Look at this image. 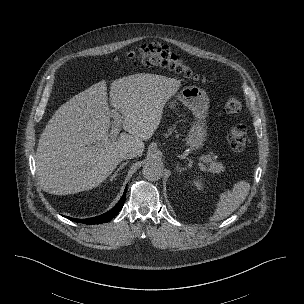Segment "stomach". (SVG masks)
I'll list each match as a JSON object with an SVG mask.
<instances>
[{"label":"stomach","instance_id":"0dacf381","mask_svg":"<svg viewBox=\"0 0 304 304\" xmlns=\"http://www.w3.org/2000/svg\"><path fill=\"white\" fill-rule=\"evenodd\" d=\"M177 99L191 110L197 119L185 139L186 144L190 146L192 151L197 150L203 146L207 135L205 117L208 111L209 98L203 89L197 86H187L180 91ZM174 106L175 103L171 102L170 107L174 108Z\"/></svg>","mask_w":304,"mask_h":304}]
</instances>
